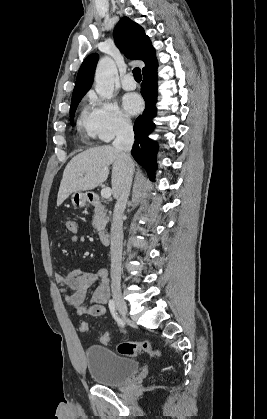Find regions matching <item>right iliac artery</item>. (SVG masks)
Here are the masks:
<instances>
[{
  "instance_id": "1",
  "label": "right iliac artery",
  "mask_w": 267,
  "mask_h": 419,
  "mask_svg": "<svg viewBox=\"0 0 267 419\" xmlns=\"http://www.w3.org/2000/svg\"><path fill=\"white\" fill-rule=\"evenodd\" d=\"M109 309H110V312H111V314H112V316H113V318L116 320V322L120 325V326H124V323H123V321L120 319V317H119V315H118V313L116 312V308H115V303H114V300L113 299H110L109 300Z\"/></svg>"
}]
</instances>
